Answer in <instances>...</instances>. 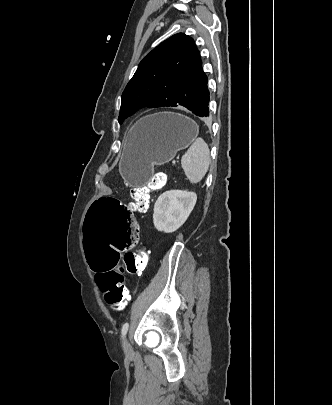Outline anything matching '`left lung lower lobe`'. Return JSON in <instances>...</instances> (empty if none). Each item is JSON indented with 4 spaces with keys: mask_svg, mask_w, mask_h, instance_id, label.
<instances>
[{
    "mask_svg": "<svg viewBox=\"0 0 332 405\" xmlns=\"http://www.w3.org/2000/svg\"><path fill=\"white\" fill-rule=\"evenodd\" d=\"M209 90L207 87V76L204 75L201 83L198 86L195 101L191 108H188L192 113L200 117L209 116Z\"/></svg>",
    "mask_w": 332,
    "mask_h": 405,
    "instance_id": "left-lung-lower-lobe-1",
    "label": "left lung lower lobe"
}]
</instances>
